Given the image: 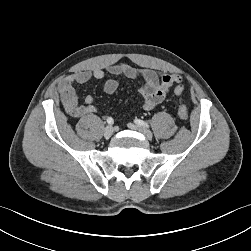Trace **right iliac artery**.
Segmentation results:
<instances>
[{
	"label": "right iliac artery",
	"instance_id": "1",
	"mask_svg": "<svg viewBox=\"0 0 251 251\" xmlns=\"http://www.w3.org/2000/svg\"><path fill=\"white\" fill-rule=\"evenodd\" d=\"M107 123H108L110 126L113 125V123H114L113 118H112V117H108V118H107Z\"/></svg>",
	"mask_w": 251,
	"mask_h": 251
}]
</instances>
